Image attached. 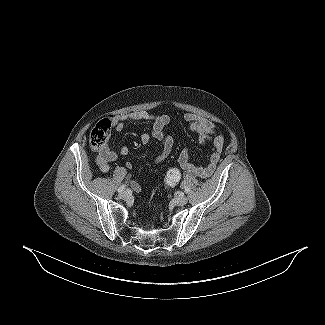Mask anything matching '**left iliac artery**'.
Listing matches in <instances>:
<instances>
[{
    "instance_id": "obj_1",
    "label": "left iliac artery",
    "mask_w": 325,
    "mask_h": 325,
    "mask_svg": "<svg viewBox=\"0 0 325 325\" xmlns=\"http://www.w3.org/2000/svg\"><path fill=\"white\" fill-rule=\"evenodd\" d=\"M185 192L188 193L189 192V189H185Z\"/></svg>"
}]
</instances>
